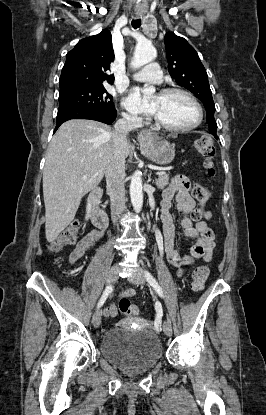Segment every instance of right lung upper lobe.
<instances>
[{
	"label": "right lung upper lobe",
	"instance_id": "1",
	"mask_svg": "<svg viewBox=\"0 0 266 415\" xmlns=\"http://www.w3.org/2000/svg\"><path fill=\"white\" fill-rule=\"evenodd\" d=\"M113 58L108 30L80 40L66 55L59 80L60 92L112 83L114 76L107 75L106 71L110 69Z\"/></svg>",
	"mask_w": 266,
	"mask_h": 415
}]
</instances>
